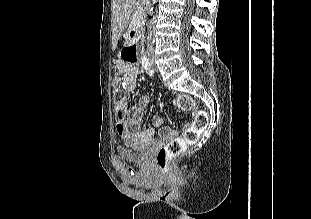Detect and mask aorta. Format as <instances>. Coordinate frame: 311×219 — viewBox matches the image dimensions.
Segmentation results:
<instances>
[{"label":"aorta","mask_w":311,"mask_h":219,"mask_svg":"<svg viewBox=\"0 0 311 219\" xmlns=\"http://www.w3.org/2000/svg\"><path fill=\"white\" fill-rule=\"evenodd\" d=\"M155 1H156V0H153V4H155ZM149 14H150V15H152V14H153V7H151V8H150V12H149Z\"/></svg>","instance_id":"aorta-1"}]
</instances>
